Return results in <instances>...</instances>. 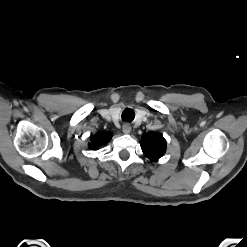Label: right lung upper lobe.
<instances>
[{"mask_svg": "<svg viewBox=\"0 0 247 247\" xmlns=\"http://www.w3.org/2000/svg\"><path fill=\"white\" fill-rule=\"evenodd\" d=\"M112 138V134L110 133H97L91 136V143H89V147L93 150L97 149L101 145L108 143Z\"/></svg>", "mask_w": 247, "mask_h": 247, "instance_id": "obj_1", "label": "right lung upper lobe"}]
</instances>
